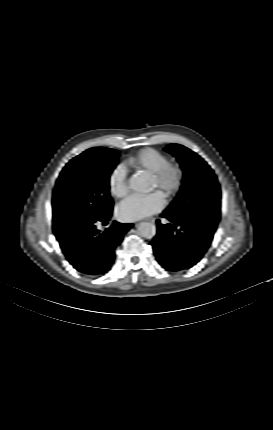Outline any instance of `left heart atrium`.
I'll return each mask as SVG.
<instances>
[{
    "label": "left heart atrium",
    "instance_id": "39dd6f15",
    "mask_svg": "<svg viewBox=\"0 0 273 430\" xmlns=\"http://www.w3.org/2000/svg\"><path fill=\"white\" fill-rule=\"evenodd\" d=\"M165 206L164 195L155 191L147 195H133L120 203L117 216L123 221H135L151 216Z\"/></svg>",
    "mask_w": 273,
    "mask_h": 430
}]
</instances>
